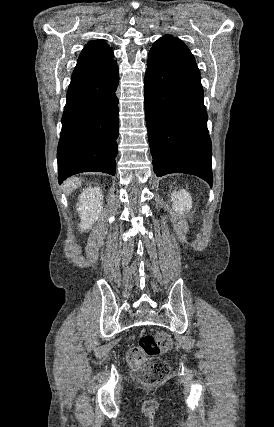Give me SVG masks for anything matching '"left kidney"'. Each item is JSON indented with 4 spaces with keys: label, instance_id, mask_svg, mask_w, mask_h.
Segmentation results:
<instances>
[{
    "label": "left kidney",
    "instance_id": "5707ae66",
    "mask_svg": "<svg viewBox=\"0 0 274 427\" xmlns=\"http://www.w3.org/2000/svg\"><path fill=\"white\" fill-rule=\"evenodd\" d=\"M171 202H173V210L176 214H186L192 208V198L186 190H179V192H172Z\"/></svg>",
    "mask_w": 274,
    "mask_h": 427
}]
</instances>
